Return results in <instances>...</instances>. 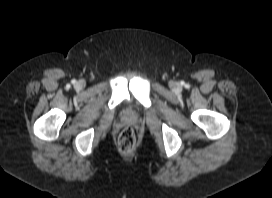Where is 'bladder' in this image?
<instances>
[{"instance_id":"1","label":"bladder","mask_w":272,"mask_h":198,"mask_svg":"<svg viewBox=\"0 0 272 198\" xmlns=\"http://www.w3.org/2000/svg\"><path fill=\"white\" fill-rule=\"evenodd\" d=\"M132 112H127V116H132Z\"/></svg>"}]
</instances>
